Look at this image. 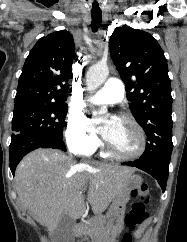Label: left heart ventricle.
<instances>
[{
  "label": "left heart ventricle",
  "instance_id": "b2bd125f",
  "mask_svg": "<svg viewBox=\"0 0 187 242\" xmlns=\"http://www.w3.org/2000/svg\"><path fill=\"white\" fill-rule=\"evenodd\" d=\"M105 126L110 128L108 144L115 150L131 153L139 146V136L136 129L128 122L112 118L105 122Z\"/></svg>",
  "mask_w": 187,
  "mask_h": 242
}]
</instances>
